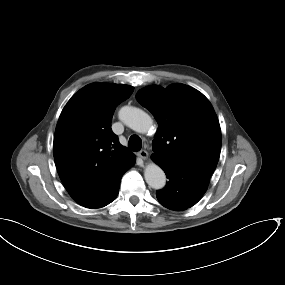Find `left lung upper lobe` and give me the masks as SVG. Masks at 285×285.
I'll use <instances>...</instances> for the list:
<instances>
[{
	"label": "left lung upper lobe",
	"mask_w": 285,
	"mask_h": 285,
	"mask_svg": "<svg viewBox=\"0 0 285 285\" xmlns=\"http://www.w3.org/2000/svg\"><path fill=\"white\" fill-rule=\"evenodd\" d=\"M136 98L159 125L151 158L210 179L220 156L221 129L209 100L184 84L148 86Z\"/></svg>",
	"instance_id": "1"
}]
</instances>
